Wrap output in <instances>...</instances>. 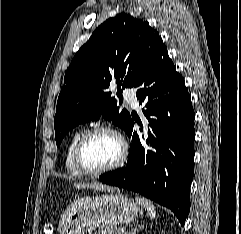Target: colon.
Returning a JSON list of instances; mask_svg holds the SVG:
<instances>
[{
	"label": "colon",
	"instance_id": "colon-1",
	"mask_svg": "<svg viewBox=\"0 0 241 234\" xmlns=\"http://www.w3.org/2000/svg\"><path fill=\"white\" fill-rule=\"evenodd\" d=\"M50 230H51V227L48 225V226H46V231L47 232H50Z\"/></svg>",
	"mask_w": 241,
	"mask_h": 234
}]
</instances>
